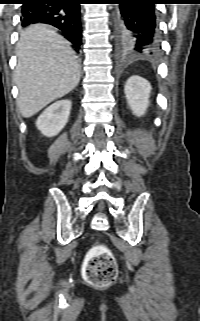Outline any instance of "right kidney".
Segmentation results:
<instances>
[{"label": "right kidney", "mask_w": 200, "mask_h": 321, "mask_svg": "<svg viewBox=\"0 0 200 321\" xmlns=\"http://www.w3.org/2000/svg\"><path fill=\"white\" fill-rule=\"evenodd\" d=\"M70 100H59L46 108L36 121V127L47 137L56 136L68 122Z\"/></svg>", "instance_id": "1"}]
</instances>
